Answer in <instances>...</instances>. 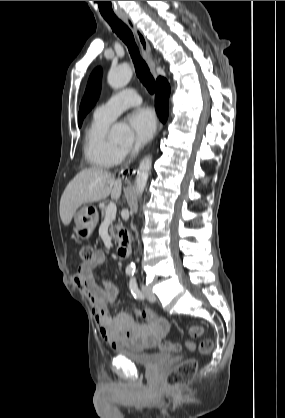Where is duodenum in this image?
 <instances>
[{"mask_svg": "<svg viewBox=\"0 0 285 418\" xmlns=\"http://www.w3.org/2000/svg\"><path fill=\"white\" fill-rule=\"evenodd\" d=\"M131 252V245L129 240L123 239L122 243L118 247V255L120 257H128Z\"/></svg>", "mask_w": 285, "mask_h": 418, "instance_id": "obj_1", "label": "duodenum"}]
</instances>
